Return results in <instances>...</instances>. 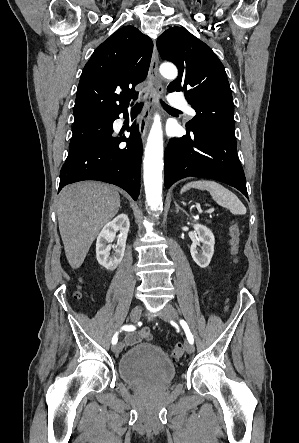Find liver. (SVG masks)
Returning a JSON list of instances; mask_svg holds the SVG:
<instances>
[{
  "label": "liver",
  "mask_w": 299,
  "mask_h": 443,
  "mask_svg": "<svg viewBox=\"0 0 299 443\" xmlns=\"http://www.w3.org/2000/svg\"><path fill=\"white\" fill-rule=\"evenodd\" d=\"M120 208L114 186L84 181L64 187L56 212L65 255L73 269L79 268L100 230Z\"/></svg>",
  "instance_id": "1"
}]
</instances>
